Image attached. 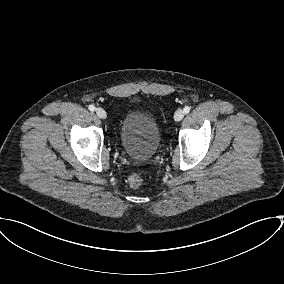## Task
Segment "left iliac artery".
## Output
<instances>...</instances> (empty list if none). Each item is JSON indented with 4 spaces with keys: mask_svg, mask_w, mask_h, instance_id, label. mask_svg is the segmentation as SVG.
<instances>
[{
    "mask_svg": "<svg viewBox=\"0 0 284 284\" xmlns=\"http://www.w3.org/2000/svg\"><path fill=\"white\" fill-rule=\"evenodd\" d=\"M183 111H184L185 114L189 113L190 107H189V106H186V107L183 109Z\"/></svg>",
    "mask_w": 284,
    "mask_h": 284,
    "instance_id": "left-iliac-artery-1",
    "label": "left iliac artery"
}]
</instances>
